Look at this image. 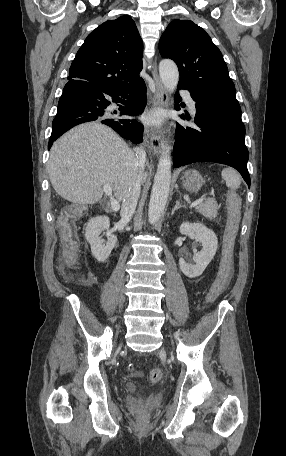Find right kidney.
Here are the masks:
<instances>
[{
  "label": "right kidney",
  "instance_id": "obj_1",
  "mask_svg": "<svg viewBox=\"0 0 286 456\" xmlns=\"http://www.w3.org/2000/svg\"><path fill=\"white\" fill-rule=\"evenodd\" d=\"M109 227L110 221L107 216L91 218L86 225L85 238L91 246L92 255L99 262H104L109 257L117 243V237L113 234L108 235L107 241L101 239V233Z\"/></svg>",
  "mask_w": 286,
  "mask_h": 456
}]
</instances>
